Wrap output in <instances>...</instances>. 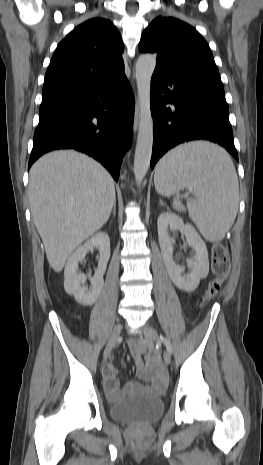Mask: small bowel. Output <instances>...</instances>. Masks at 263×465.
Masks as SVG:
<instances>
[{"label":"small bowel","instance_id":"c3829d8e","mask_svg":"<svg viewBox=\"0 0 263 465\" xmlns=\"http://www.w3.org/2000/svg\"><path fill=\"white\" fill-rule=\"evenodd\" d=\"M195 325V324H194ZM131 355L136 365L138 377L144 382V385L138 382H130L127 389L145 388L154 392H161L167 385L166 372L161 368L158 362L148 357L143 360V355L148 351V344L141 339H132L129 341ZM118 368L112 363H107L103 368L104 387L110 398L116 399L120 396L121 390L117 378Z\"/></svg>","mask_w":263,"mask_h":465}]
</instances>
